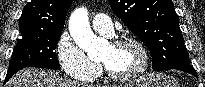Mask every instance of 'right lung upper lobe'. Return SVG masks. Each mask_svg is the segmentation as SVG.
I'll use <instances>...</instances> for the list:
<instances>
[{
	"label": "right lung upper lobe",
	"mask_w": 205,
	"mask_h": 87,
	"mask_svg": "<svg viewBox=\"0 0 205 87\" xmlns=\"http://www.w3.org/2000/svg\"><path fill=\"white\" fill-rule=\"evenodd\" d=\"M73 0H31L20 17V32L62 31Z\"/></svg>",
	"instance_id": "obj_1"
}]
</instances>
